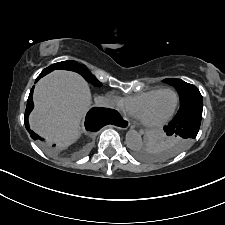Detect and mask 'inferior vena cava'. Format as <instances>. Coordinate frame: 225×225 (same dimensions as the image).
Listing matches in <instances>:
<instances>
[{"mask_svg": "<svg viewBox=\"0 0 225 225\" xmlns=\"http://www.w3.org/2000/svg\"><path fill=\"white\" fill-rule=\"evenodd\" d=\"M95 106L112 108V107H114V103L111 99H109L107 97L99 96V97L95 98Z\"/></svg>", "mask_w": 225, "mask_h": 225, "instance_id": "inferior-vena-cava-1", "label": "inferior vena cava"}]
</instances>
